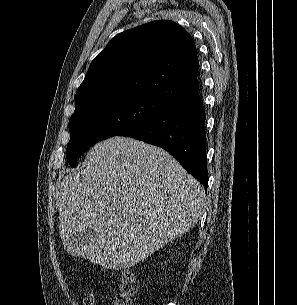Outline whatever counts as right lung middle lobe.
Here are the masks:
<instances>
[{"label":"right lung middle lobe","instance_id":"right-lung-middle-lobe-1","mask_svg":"<svg viewBox=\"0 0 297 305\" xmlns=\"http://www.w3.org/2000/svg\"><path fill=\"white\" fill-rule=\"evenodd\" d=\"M169 103L154 95L131 93L106 97L76 109L69 121V164L76 167L78 157L93 144L139 125Z\"/></svg>","mask_w":297,"mask_h":305}]
</instances>
